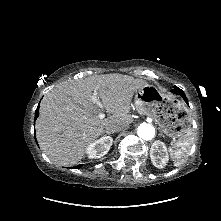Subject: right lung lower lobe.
<instances>
[{
  "label": "right lung lower lobe",
  "instance_id": "1",
  "mask_svg": "<svg viewBox=\"0 0 221 221\" xmlns=\"http://www.w3.org/2000/svg\"><path fill=\"white\" fill-rule=\"evenodd\" d=\"M38 115H39V105H38V107H37V109H36V112H35V119H34V120L37 119ZM76 168H80V165L76 166Z\"/></svg>",
  "mask_w": 221,
  "mask_h": 221
}]
</instances>
